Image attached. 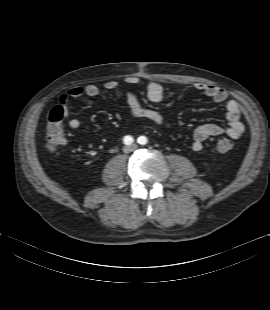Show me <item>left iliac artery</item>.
Returning a JSON list of instances; mask_svg holds the SVG:
<instances>
[{
	"mask_svg": "<svg viewBox=\"0 0 270 310\" xmlns=\"http://www.w3.org/2000/svg\"><path fill=\"white\" fill-rule=\"evenodd\" d=\"M138 143L141 145H145L147 143V138L145 136H140L138 138Z\"/></svg>",
	"mask_w": 270,
	"mask_h": 310,
	"instance_id": "1",
	"label": "left iliac artery"
}]
</instances>
